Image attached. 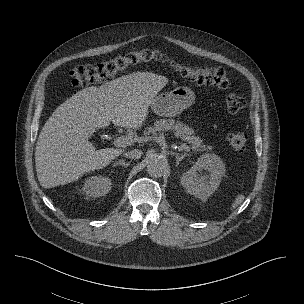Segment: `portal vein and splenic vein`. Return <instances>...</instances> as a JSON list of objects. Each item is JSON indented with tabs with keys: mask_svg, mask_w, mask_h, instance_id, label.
<instances>
[{
	"mask_svg": "<svg viewBox=\"0 0 304 304\" xmlns=\"http://www.w3.org/2000/svg\"><path fill=\"white\" fill-rule=\"evenodd\" d=\"M134 142V139L129 136H121L115 139L114 144L117 145L118 147H126L131 145ZM179 149L185 150V151H190V148L188 145L185 143H181L179 146Z\"/></svg>",
	"mask_w": 304,
	"mask_h": 304,
	"instance_id": "obj_1",
	"label": "portal vein and splenic vein"
}]
</instances>
